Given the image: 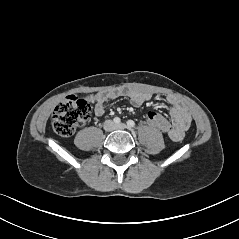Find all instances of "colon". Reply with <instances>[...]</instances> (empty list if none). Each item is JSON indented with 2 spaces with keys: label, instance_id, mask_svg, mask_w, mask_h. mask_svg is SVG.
Returning <instances> with one entry per match:
<instances>
[{
  "label": "colon",
  "instance_id": "obj_1",
  "mask_svg": "<svg viewBox=\"0 0 239 239\" xmlns=\"http://www.w3.org/2000/svg\"><path fill=\"white\" fill-rule=\"evenodd\" d=\"M94 97L79 98L71 95L63 99L54 109L52 115L53 130L60 136H71L77 127L83 125L92 112L91 103ZM146 123L153 126L157 132H166L170 121L167 116L155 109L146 112Z\"/></svg>",
  "mask_w": 239,
  "mask_h": 239
}]
</instances>
